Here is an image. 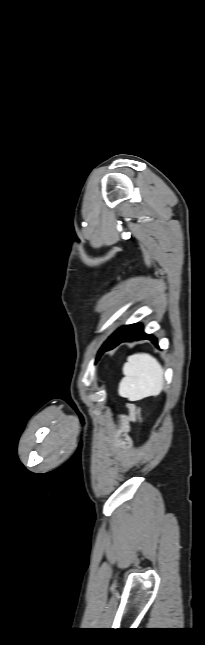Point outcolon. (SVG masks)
Here are the masks:
<instances>
[{
	"label": "colon",
	"mask_w": 205,
	"mask_h": 645,
	"mask_svg": "<svg viewBox=\"0 0 205 645\" xmlns=\"http://www.w3.org/2000/svg\"><path fill=\"white\" fill-rule=\"evenodd\" d=\"M135 412H136V414L138 415V417H139V418H141V408H140V407H137V408L135 409Z\"/></svg>",
	"instance_id": "colon-1"
}]
</instances>
